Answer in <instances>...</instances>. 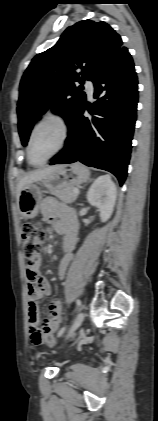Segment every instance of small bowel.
Masks as SVG:
<instances>
[{
	"label": "small bowel",
	"instance_id": "obj_1",
	"mask_svg": "<svg viewBox=\"0 0 158 421\" xmlns=\"http://www.w3.org/2000/svg\"><path fill=\"white\" fill-rule=\"evenodd\" d=\"M41 213L54 229L63 235L65 255L58 266V276L62 279L72 260V251L77 242V219L72 210L59 205L51 198L43 201ZM40 263L41 257L39 256L26 268L30 335L35 344H41L43 341L36 343L34 333H39L42 336L53 335L59 329L62 320L61 302L55 299L49 303V318L44 320L40 326L37 301L43 296H48L51 291L48 280L40 273Z\"/></svg>",
	"mask_w": 158,
	"mask_h": 421
}]
</instances>
